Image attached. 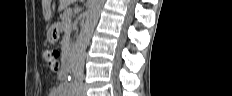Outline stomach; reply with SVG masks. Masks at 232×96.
I'll return each instance as SVG.
<instances>
[{
  "instance_id": "obj_1",
  "label": "stomach",
  "mask_w": 232,
  "mask_h": 96,
  "mask_svg": "<svg viewBox=\"0 0 232 96\" xmlns=\"http://www.w3.org/2000/svg\"><path fill=\"white\" fill-rule=\"evenodd\" d=\"M60 37V27L59 24H53L48 31L47 40L49 43L54 44L58 41Z\"/></svg>"
}]
</instances>
